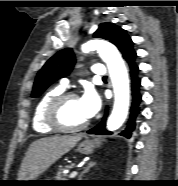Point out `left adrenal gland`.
<instances>
[{"label": "left adrenal gland", "instance_id": "left-adrenal-gland-1", "mask_svg": "<svg viewBox=\"0 0 178 186\" xmlns=\"http://www.w3.org/2000/svg\"><path fill=\"white\" fill-rule=\"evenodd\" d=\"M93 166H95V162L93 161L89 162L88 165L82 171V173L79 175L78 181H81V178L83 177V175L87 173L90 170V168H92Z\"/></svg>", "mask_w": 178, "mask_h": 186}]
</instances>
